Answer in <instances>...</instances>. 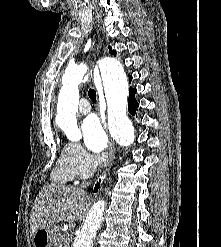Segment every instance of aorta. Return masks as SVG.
Returning a JSON list of instances; mask_svg holds the SVG:
<instances>
[{
	"instance_id": "aorta-1",
	"label": "aorta",
	"mask_w": 221,
	"mask_h": 247,
	"mask_svg": "<svg viewBox=\"0 0 221 247\" xmlns=\"http://www.w3.org/2000/svg\"><path fill=\"white\" fill-rule=\"evenodd\" d=\"M88 71L85 64L69 67L62 76L56 120L71 141H78L82 134L77 126L76 113L79 104V84ZM100 74L107 101L108 125L116 142L130 146L135 139L134 127L127 117L128 82L119 61L106 58L100 64ZM106 203L98 200L90 210L86 221L74 240L73 247H92L93 240L103 222Z\"/></svg>"
}]
</instances>
